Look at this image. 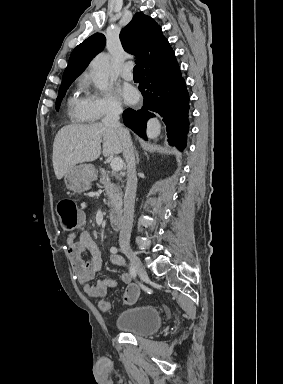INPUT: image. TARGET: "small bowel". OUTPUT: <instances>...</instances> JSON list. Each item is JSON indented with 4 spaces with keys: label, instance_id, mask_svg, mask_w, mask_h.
Returning <instances> with one entry per match:
<instances>
[{
    "label": "small bowel",
    "instance_id": "c3829d8e",
    "mask_svg": "<svg viewBox=\"0 0 283 384\" xmlns=\"http://www.w3.org/2000/svg\"><path fill=\"white\" fill-rule=\"evenodd\" d=\"M67 248L72 263V268L77 281L82 285L84 293L91 298H105L110 289L116 288L118 282L112 278H102L96 283H91L96 272L102 267L101 252L93 240L88 230H80L72 233L67 238ZM88 254V259L83 258V254ZM110 261L119 266H125L124 260L111 254ZM130 272L125 271L121 275V280L125 284L132 285Z\"/></svg>",
    "mask_w": 283,
    "mask_h": 384
}]
</instances>
